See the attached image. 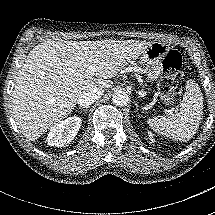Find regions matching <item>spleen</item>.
I'll return each mask as SVG.
<instances>
[{"label": "spleen", "mask_w": 215, "mask_h": 215, "mask_svg": "<svg viewBox=\"0 0 215 215\" xmlns=\"http://www.w3.org/2000/svg\"><path fill=\"white\" fill-rule=\"evenodd\" d=\"M180 112L150 118L147 123L157 133L173 140L186 142L199 128L202 119L203 97L200 88L188 81L186 93L180 103Z\"/></svg>", "instance_id": "obj_1"}]
</instances>
